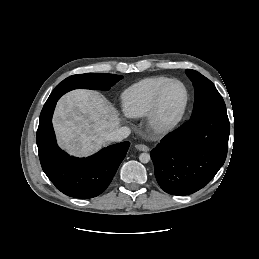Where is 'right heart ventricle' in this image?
<instances>
[{
  "instance_id": "e07e8e85",
  "label": "right heart ventricle",
  "mask_w": 259,
  "mask_h": 259,
  "mask_svg": "<svg viewBox=\"0 0 259 259\" xmlns=\"http://www.w3.org/2000/svg\"><path fill=\"white\" fill-rule=\"evenodd\" d=\"M167 80L165 76L144 78L125 89L121 95L124 113L131 118L148 115L158 88Z\"/></svg>"
}]
</instances>
